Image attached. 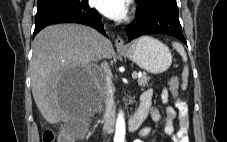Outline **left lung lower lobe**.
<instances>
[{"label":"left lung lower lobe","mask_w":227,"mask_h":142,"mask_svg":"<svg viewBox=\"0 0 227 142\" xmlns=\"http://www.w3.org/2000/svg\"><path fill=\"white\" fill-rule=\"evenodd\" d=\"M137 22L126 27L129 41L146 34L162 33L187 45L179 22V12L161 6L136 12Z\"/></svg>","instance_id":"left-lung-lower-lobe-1"}]
</instances>
